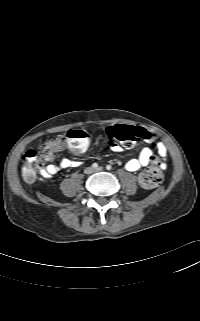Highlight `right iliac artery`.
Instances as JSON below:
<instances>
[{
    "label": "right iliac artery",
    "mask_w": 200,
    "mask_h": 321,
    "mask_svg": "<svg viewBox=\"0 0 200 321\" xmlns=\"http://www.w3.org/2000/svg\"><path fill=\"white\" fill-rule=\"evenodd\" d=\"M92 167H93V168H97V167H98V164H97V163H93V164H92Z\"/></svg>",
    "instance_id": "obj_1"
}]
</instances>
